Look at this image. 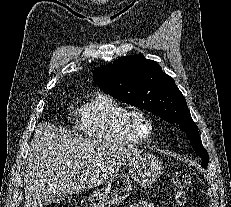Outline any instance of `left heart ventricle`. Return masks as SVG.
I'll list each match as a JSON object with an SVG mask.
<instances>
[{
    "label": "left heart ventricle",
    "mask_w": 231,
    "mask_h": 207,
    "mask_svg": "<svg viewBox=\"0 0 231 207\" xmlns=\"http://www.w3.org/2000/svg\"><path fill=\"white\" fill-rule=\"evenodd\" d=\"M138 125L140 129L142 130V132L146 133L148 131V125L144 119L140 118L138 120Z\"/></svg>",
    "instance_id": "obj_1"
}]
</instances>
